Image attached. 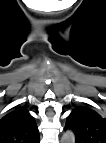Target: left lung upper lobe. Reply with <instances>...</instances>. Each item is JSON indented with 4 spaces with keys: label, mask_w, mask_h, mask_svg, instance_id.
Returning <instances> with one entry per match:
<instances>
[{
    "label": "left lung upper lobe",
    "mask_w": 106,
    "mask_h": 143,
    "mask_svg": "<svg viewBox=\"0 0 106 143\" xmlns=\"http://www.w3.org/2000/svg\"><path fill=\"white\" fill-rule=\"evenodd\" d=\"M65 129H71L76 143H106V119L96 111L80 106L67 117Z\"/></svg>",
    "instance_id": "5c2ea615"
}]
</instances>
